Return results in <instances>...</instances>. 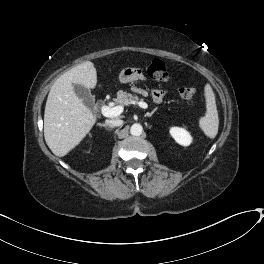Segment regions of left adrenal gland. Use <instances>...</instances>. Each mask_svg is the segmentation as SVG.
I'll return each mask as SVG.
<instances>
[{"label": "left adrenal gland", "mask_w": 264, "mask_h": 264, "mask_svg": "<svg viewBox=\"0 0 264 264\" xmlns=\"http://www.w3.org/2000/svg\"><path fill=\"white\" fill-rule=\"evenodd\" d=\"M156 110H157V108L153 109L152 112L147 113L145 116L151 117V116L154 114V112H155Z\"/></svg>", "instance_id": "left-adrenal-gland-1"}]
</instances>
